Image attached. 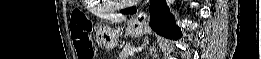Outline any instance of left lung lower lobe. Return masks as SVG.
Listing matches in <instances>:
<instances>
[{
	"label": "left lung lower lobe",
	"mask_w": 261,
	"mask_h": 59,
	"mask_svg": "<svg viewBox=\"0 0 261 59\" xmlns=\"http://www.w3.org/2000/svg\"><path fill=\"white\" fill-rule=\"evenodd\" d=\"M122 14L136 13V7L121 10ZM150 26L159 35L178 40L182 37L180 28L175 24L165 0H151Z\"/></svg>",
	"instance_id": "left-lung-lower-lobe-1"
}]
</instances>
